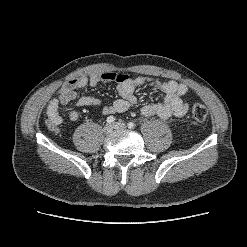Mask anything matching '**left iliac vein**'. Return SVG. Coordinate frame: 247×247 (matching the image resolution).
<instances>
[{
    "label": "left iliac vein",
    "mask_w": 247,
    "mask_h": 247,
    "mask_svg": "<svg viewBox=\"0 0 247 247\" xmlns=\"http://www.w3.org/2000/svg\"><path fill=\"white\" fill-rule=\"evenodd\" d=\"M113 127L115 129H125L127 126H126V124L124 122L118 121V122L114 123Z\"/></svg>",
    "instance_id": "left-iliac-vein-1"
}]
</instances>
